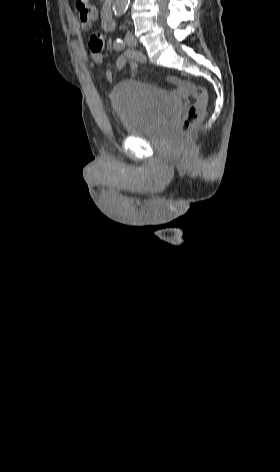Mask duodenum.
I'll return each mask as SVG.
<instances>
[{
    "instance_id": "1",
    "label": "duodenum",
    "mask_w": 280,
    "mask_h": 472,
    "mask_svg": "<svg viewBox=\"0 0 280 472\" xmlns=\"http://www.w3.org/2000/svg\"><path fill=\"white\" fill-rule=\"evenodd\" d=\"M102 26L106 31H113L115 29V20L113 18L110 4H106L102 14Z\"/></svg>"
}]
</instances>
